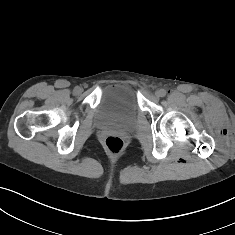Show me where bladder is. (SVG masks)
<instances>
[{
	"label": "bladder",
	"instance_id": "obj_1",
	"mask_svg": "<svg viewBox=\"0 0 235 235\" xmlns=\"http://www.w3.org/2000/svg\"><path fill=\"white\" fill-rule=\"evenodd\" d=\"M139 107L134 92L125 86H111L100 98L94 110L99 127L128 128L135 124Z\"/></svg>",
	"mask_w": 235,
	"mask_h": 235
}]
</instances>
